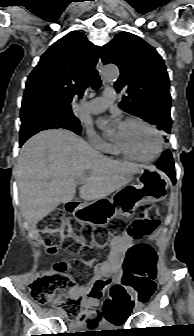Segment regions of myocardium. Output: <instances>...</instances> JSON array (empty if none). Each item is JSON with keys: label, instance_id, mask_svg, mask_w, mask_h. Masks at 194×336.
Wrapping results in <instances>:
<instances>
[{"label": "myocardium", "instance_id": "obj_1", "mask_svg": "<svg viewBox=\"0 0 194 336\" xmlns=\"http://www.w3.org/2000/svg\"><path fill=\"white\" fill-rule=\"evenodd\" d=\"M131 123H138L141 124L143 126H145L146 128H148L155 136L156 138V150L155 153L150 156V157H142L139 155H136L132 152H130L129 150H127L122 144H120L117 141H114V146L126 157L134 159V160H138V161H142V162H153L155 161L160 154L162 153V149H163V141H162V137H161V133L159 132V130L152 124H150L149 122L141 119V118H136V117H131L125 120L124 125L126 124H131Z\"/></svg>", "mask_w": 194, "mask_h": 336}]
</instances>
